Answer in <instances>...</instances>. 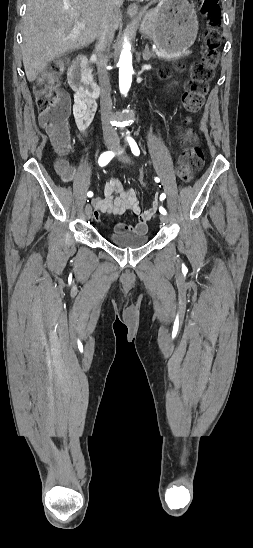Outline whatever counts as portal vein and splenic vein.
Listing matches in <instances>:
<instances>
[{
    "label": "portal vein and splenic vein",
    "instance_id": "1",
    "mask_svg": "<svg viewBox=\"0 0 253 548\" xmlns=\"http://www.w3.org/2000/svg\"><path fill=\"white\" fill-rule=\"evenodd\" d=\"M153 50H156V48H155V47H153Z\"/></svg>",
    "mask_w": 253,
    "mask_h": 548
}]
</instances>
